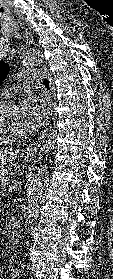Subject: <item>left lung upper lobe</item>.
Wrapping results in <instances>:
<instances>
[{
    "instance_id": "1",
    "label": "left lung upper lobe",
    "mask_w": 113,
    "mask_h": 279,
    "mask_svg": "<svg viewBox=\"0 0 113 279\" xmlns=\"http://www.w3.org/2000/svg\"><path fill=\"white\" fill-rule=\"evenodd\" d=\"M8 71H9V64L0 61V84L3 81V79L6 77Z\"/></svg>"
}]
</instances>
